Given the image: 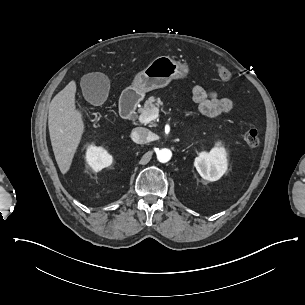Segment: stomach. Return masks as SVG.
Masks as SVG:
<instances>
[{"mask_svg": "<svg viewBox=\"0 0 305 305\" xmlns=\"http://www.w3.org/2000/svg\"><path fill=\"white\" fill-rule=\"evenodd\" d=\"M189 72L187 64H181L169 56L155 58L143 71L136 74L129 91V100L138 104L146 92L167 86L172 79L185 78Z\"/></svg>", "mask_w": 305, "mask_h": 305, "instance_id": "stomach-1", "label": "stomach"}]
</instances>
